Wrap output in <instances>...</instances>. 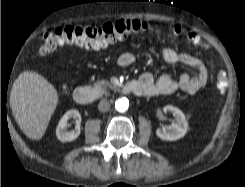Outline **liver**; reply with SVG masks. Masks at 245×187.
I'll return each instance as SVG.
<instances>
[{
  "label": "liver",
  "mask_w": 245,
  "mask_h": 187,
  "mask_svg": "<svg viewBox=\"0 0 245 187\" xmlns=\"http://www.w3.org/2000/svg\"><path fill=\"white\" fill-rule=\"evenodd\" d=\"M58 101L54 86L32 71L22 72L10 93L13 116L24 134L33 140L43 137Z\"/></svg>",
  "instance_id": "obj_1"
}]
</instances>
